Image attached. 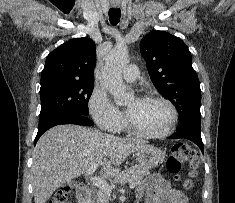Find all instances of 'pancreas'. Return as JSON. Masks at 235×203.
Returning <instances> with one entry per match:
<instances>
[{
    "mask_svg": "<svg viewBox=\"0 0 235 203\" xmlns=\"http://www.w3.org/2000/svg\"><path fill=\"white\" fill-rule=\"evenodd\" d=\"M149 174L150 172L148 168L140 165H135L119 173L115 177L114 182L120 184H125L126 182H130V183H135L137 185L140 184L143 178ZM109 200H111L110 195H107L100 190L93 196L92 203H109Z\"/></svg>",
    "mask_w": 235,
    "mask_h": 203,
    "instance_id": "obj_1",
    "label": "pancreas"
}]
</instances>
